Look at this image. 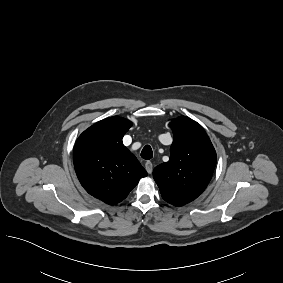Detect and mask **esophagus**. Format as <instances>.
<instances>
[{
	"label": "esophagus",
	"mask_w": 283,
	"mask_h": 283,
	"mask_svg": "<svg viewBox=\"0 0 283 283\" xmlns=\"http://www.w3.org/2000/svg\"><path fill=\"white\" fill-rule=\"evenodd\" d=\"M145 169H146V171H147L149 174L152 173V171H153V164H152L151 161H147V162L145 163Z\"/></svg>",
	"instance_id": "34e87169"
}]
</instances>
